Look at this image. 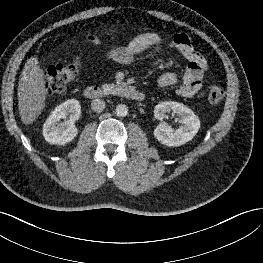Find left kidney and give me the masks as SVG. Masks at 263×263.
Here are the masks:
<instances>
[{
	"label": "left kidney",
	"instance_id": "1",
	"mask_svg": "<svg viewBox=\"0 0 263 263\" xmlns=\"http://www.w3.org/2000/svg\"><path fill=\"white\" fill-rule=\"evenodd\" d=\"M170 111L179 117L181 126L178 129H173L166 122H161L155 128L154 136L166 146H181L194 138L200 128V120L190 108L174 101L161 102L156 105L154 117L163 121L168 118L167 113Z\"/></svg>",
	"mask_w": 263,
	"mask_h": 263
}]
</instances>
